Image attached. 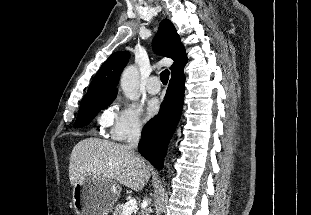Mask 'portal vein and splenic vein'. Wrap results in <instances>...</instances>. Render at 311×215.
Returning <instances> with one entry per match:
<instances>
[{"instance_id": "1", "label": "portal vein and splenic vein", "mask_w": 311, "mask_h": 215, "mask_svg": "<svg viewBox=\"0 0 311 215\" xmlns=\"http://www.w3.org/2000/svg\"><path fill=\"white\" fill-rule=\"evenodd\" d=\"M137 208V202L135 199H131L123 207L121 215H131V213Z\"/></svg>"}]
</instances>
